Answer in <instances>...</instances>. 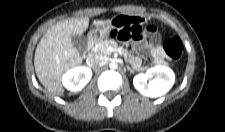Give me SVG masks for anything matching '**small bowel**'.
I'll return each mask as SVG.
<instances>
[{"mask_svg":"<svg viewBox=\"0 0 225 132\" xmlns=\"http://www.w3.org/2000/svg\"><path fill=\"white\" fill-rule=\"evenodd\" d=\"M145 23V19L139 16H122L119 19V25L121 26H133V25H143ZM155 29L153 27L152 33H154ZM134 50L138 52H150L152 56V62L154 65L159 66L163 65L166 59V54L163 48L158 43L157 36L154 37L151 43H147L144 41H137L134 44ZM130 62L134 69L143 71L146 69L142 59L139 56L132 55L130 57Z\"/></svg>","mask_w":225,"mask_h":132,"instance_id":"obj_1","label":"small bowel"}]
</instances>
